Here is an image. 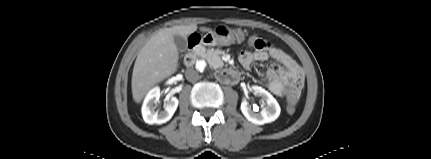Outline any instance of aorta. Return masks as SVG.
Listing matches in <instances>:
<instances>
[{
	"label": "aorta",
	"instance_id": "obj_1",
	"mask_svg": "<svg viewBox=\"0 0 431 159\" xmlns=\"http://www.w3.org/2000/svg\"><path fill=\"white\" fill-rule=\"evenodd\" d=\"M197 71L199 72H204L207 69V64L206 62H197Z\"/></svg>",
	"mask_w": 431,
	"mask_h": 159
}]
</instances>
